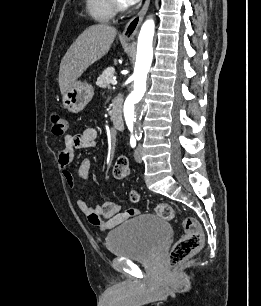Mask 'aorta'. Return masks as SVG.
I'll return each mask as SVG.
<instances>
[{
  "label": "aorta",
  "mask_w": 261,
  "mask_h": 306,
  "mask_svg": "<svg viewBox=\"0 0 261 306\" xmlns=\"http://www.w3.org/2000/svg\"><path fill=\"white\" fill-rule=\"evenodd\" d=\"M155 23L146 20L138 36L137 57L134 69V89L124 104V117L127 123H135L140 113V103L146 91V78L153 58V37Z\"/></svg>",
  "instance_id": "762f6f07"
}]
</instances>
